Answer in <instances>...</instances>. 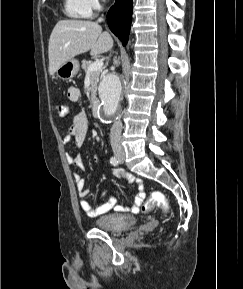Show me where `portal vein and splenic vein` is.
<instances>
[{"label": "portal vein and splenic vein", "instance_id": "1", "mask_svg": "<svg viewBox=\"0 0 243 289\" xmlns=\"http://www.w3.org/2000/svg\"><path fill=\"white\" fill-rule=\"evenodd\" d=\"M102 67H103V61L102 60H96L89 66L88 72L101 70Z\"/></svg>", "mask_w": 243, "mask_h": 289}]
</instances>
